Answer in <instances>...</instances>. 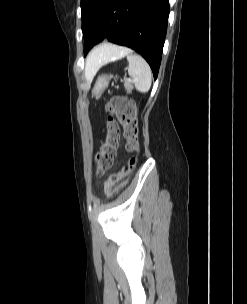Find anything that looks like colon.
I'll return each mask as SVG.
<instances>
[{
  "label": "colon",
  "mask_w": 247,
  "mask_h": 304,
  "mask_svg": "<svg viewBox=\"0 0 247 304\" xmlns=\"http://www.w3.org/2000/svg\"><path fill=\"white\" fill-rule=\"evenodd\" d=\"M107 111L110 115L107 126V134L105 141L96 155V172L98 175L103 174L109 169L116 156L119 146L118 126L112 116H115L123 126L125 135L128 139V148L135 150L137 148V116L134 103L126 98L117 96L111 99L107 106ZM134 160L129 162L122 172L113 175L110 178V184L119 181L133 166Z\"/></svg>",
  "instance_id": "5ec220e1"
}]
</instances>
